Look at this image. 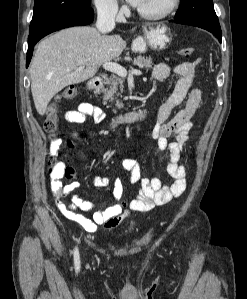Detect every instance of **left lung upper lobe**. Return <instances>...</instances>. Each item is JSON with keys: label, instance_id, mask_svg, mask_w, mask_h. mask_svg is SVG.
Returning <instances> with one entry per match:
<instances>
[{"label": "left lung upper lobe", "instance_id": "5c2ea615", "mask_svg": "<svg viewBox=\"0 0 247 299\" xmlns=\"http://www.w3.org/2000/svg\"><path fill=\"white\" fill-rule=\"evenodd\" d=\"M192 15L202 16L211 21L219 22L212 0H181L180 8L175 14L174 19Z\"/></svg>", "mask_w": 247, "mask_h": 299}]
</instances>
